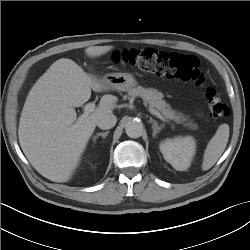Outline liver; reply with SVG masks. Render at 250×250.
I'll return each mask as SVG.
<instances>
[{"instance_id":"6515ba94","label":"liver","mask_w":250,"mask_h":250,"mask_svg":"<svg viewBox=\"0 0 250 250\" xmlns=\"http://www.w3.org/2000/svg\"><path fill=\"white\" fill-rule=\"evenodd\" d=\"M113 46H91L88 57L106 54ZM91 89H110L71 59L55 61L31 88L19 122L18 137L31 165L53 182H67L78 166L100 116L111 114L117 102L103 95L98 108L77 118L75 107L91 97Z\"/></svg>"}]
</instances>
